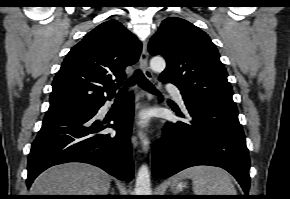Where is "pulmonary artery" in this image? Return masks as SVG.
I'll list each match as a JSON object with an SVG mask.
<instances>
[{
  "instance_id": "pulmonary-artery-1",
  "label": "pulmonary artery",
  "mask_w": 290,
  "mask_h": 199,
  "mask_svg": "<svg viewBox=\"0 0 290 199\" xmlns=\"http://www.w3.org/2000/svg\"><path fill=\"white\" fill-rule=\"evenodd\" d=\"M166 90L174 95V97L183 105V99L180 90L173 84H167Z\"/></svg>"
}]
</instances>
